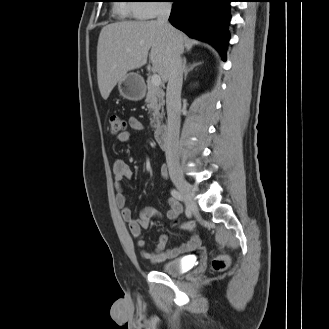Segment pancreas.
Listing matches in <instances>:
<instances>
[{
    "label": "pancreas",
    "mask_w": 329,
    "mask_h": 329,
    "mask_svg": "<svg viewBox=\"0 0 329 329\" xmlns=\"http://www.w3.org/2000/svg\"><path fill=\"white\" fill-rule=\"evenodd\" d=\"M147 95L145 102L149 113L151 114V125L154 128L160 127V121L163 117L164 91L160 87L153 86L150 81L147 82ZM160 110L162 112L160 113Z\"/></svg>",
    "instance_id": "cf45deb5"
}]
</instances>
